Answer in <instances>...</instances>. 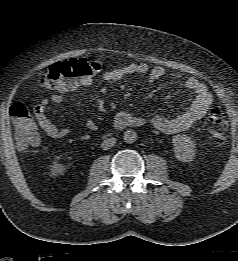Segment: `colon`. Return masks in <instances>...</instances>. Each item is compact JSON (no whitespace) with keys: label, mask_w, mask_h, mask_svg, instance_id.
Segmentation results:
<instances>
[{"label":"colon","mask_w":238,"mask_h":261,"mask_svg":"<svg viewBox=\"0 0 238 261\" xmlns=\"http://www.w3.org/2000/svg\"><path fill=\"white\" fill-rule=\"evenodd\" d=\"M101 66L98 62L85 58H74L63 62L54 63L43 74L42 84L57 91H67L75 83L83 78L95 75ZM13 120L15 140L18 148L26 152L30 147L40 141L36 124L30 114L28 107L23 103H15L10 108ZM210 132L218 143L227 137L228 121L226 115L218 108H213L207 117Z\"/></svg>","instance_id":"5ec220e1"}]
</instances>
